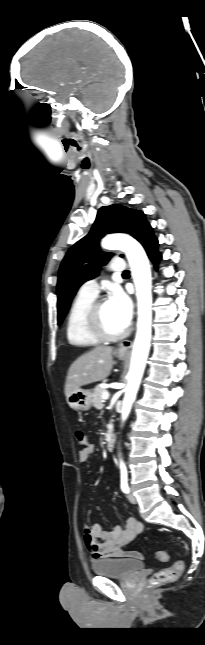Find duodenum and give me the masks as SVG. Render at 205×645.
I'll use <instances>...</instances> for the list:
<instances>
[{
	"mask_svg": "<svg viewBox=\"0 0 205 645\" xmlns=\"http://www.w3.org/2000/svg\"><path fill=\"white\" fill-rule=\"evenodd\" d=\"M114 446H115V436L113 433H110L106 439V449L108 451H112L114 449Z\"/></svg>",
	"mask_w": 205,
	"mask_h": 645,
	"instance_id": "1",
	"label": "duodenum"
}]
</instances>
